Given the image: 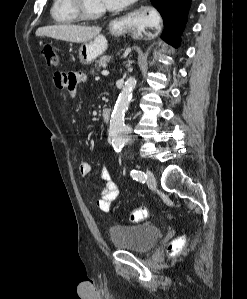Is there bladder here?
Here are the masks:
<instances>
[{"label": "bladder", "mask_w": 247, "mask_h": 299, "mask_svg": "<svg viewBox=\"0 0 247 299\" xmlns=\"http://www.w3.org/2000/svg\"><path fill=\"white\" fill-rule=\"evenodd\" d=\"M162 236L160 227L151 223L116 225L109 229L112 245L119 250L149 252Z\"/></svg>", "instance_id": "31cf9c89"}]
</instances>
